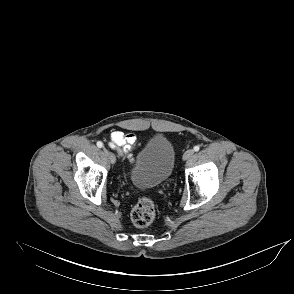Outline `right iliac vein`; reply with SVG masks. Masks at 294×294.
Listing matches in <instances>:
<instances>
[{"mask_svg": "<svg viewBox=\"0 0 294 294\" xmlns=\"http://www.w3.org/2000/svg\"><path fill=\"white\" fill-rule=\"evenodd\" d=\"M104 150L106 151V149H104ZM107 153L109 155V158L111 159V162L115 163V161H116L115 155L113 153H111V152H107Z\"/></svg>", "mask_w": 294, "mask_h": 294, "instance_id": "right-iliac-vein-1", "label": "right iliac vein"}]
</instances>
